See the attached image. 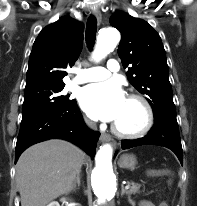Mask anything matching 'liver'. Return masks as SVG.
Listing matches in <instances>:
<instances>
[{
    "mask_svg": "<svg viewBox=\"0 0 197 206\" xmlns=\"http://www.w3.org/2000/svg\"><path fill=\"white\" fill-rule=\"evenodd\" d=\"M86 160L81 149L64 140L52 139L29 147L16 165L21 206H46L69 193Z\"/></svg>",
    "mask_w": 197,
    "mask_h": 206,
    "instance_id": "1",
    "label": "liver"
}]
</instances>
